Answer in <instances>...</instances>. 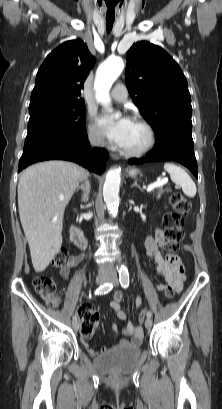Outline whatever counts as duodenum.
<instances>
[{
    "label": "duodenum",
    "mask_w": 222,
    "mask_h": 409,
    "mask_svg": "<svg viewBox=\"0 0 222 409\" xmlns=\"http://www.w3.org/2000/svg\"><path fill=\"white\" fill-rule=\"evenodd\" d=\"M69 236L71 241L75 244L80 249H85L87 246V241L85 238V235L82 231V229L76 225L73 224L69 228Z\"/></svg>",
    "instance_id": "1"
}]
</instances>
